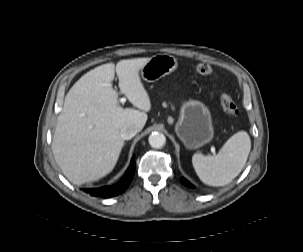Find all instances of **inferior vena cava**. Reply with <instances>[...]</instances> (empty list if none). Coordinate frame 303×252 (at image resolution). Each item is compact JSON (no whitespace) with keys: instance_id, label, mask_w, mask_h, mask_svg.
Listing matches in <instances>:
<instances>
[{"instance_id":"obj_1","label":"inferior vena cava","mask_w":303,"mask_h":252,"mask_svg":"<svg viewBox=\"0 0 303 252\" xmlns=\"http://www.w3.org/2000/svg\"><path fill=\"white\" fill-rule=\"evenodd\" d=\"M138 132L135 126H124L120 130V136L124 140H129L133 138Z\"/></svg>"}]
</instances>
